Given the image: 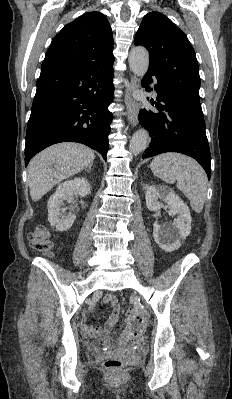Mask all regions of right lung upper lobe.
I'll return each mask as SVG.
<instances>
[{
    "label": "right lung upper lobe",
    "instance_id": "obj_1",
    "mask_svg": "<svg viewBox=\"0 0 232 399\" xmlns=\"http://www.w3.org/2000/svg\"><path fill=\"white\" fill-rule=\"evenodd\" d=\"M113 34L100 12L78 17L54 37L41 69L79 68L113 60Z\"/></svg>",
    "mask_w": 232,
    "mask_h": 399
}]
</instances>
